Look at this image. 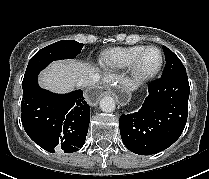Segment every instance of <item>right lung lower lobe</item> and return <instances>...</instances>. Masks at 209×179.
Masks as SVG:
<instances>
[{"label":"right lung lower lobe","instance_id":"right-lung-lower-lobe-1","mask_svg":"<svg viewBox=\"0 0 209 179\" xmlns=\"http://www.w3.org/2000/svg\"><path fill=\"white\" fill-rule=\"evenodd\" d=\"M22 88L21 121L28 136L51 153L78 151L84 145L90 121L83 92L52 93L39 87L37 76Z\"/></svg>","mask_w":209,"mask_h":179}]
</instances>
